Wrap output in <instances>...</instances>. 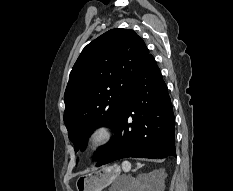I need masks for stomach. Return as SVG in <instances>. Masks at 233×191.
<instances>
[{
    "instance_id": "1",
    "label": "stomach",
    "mask_w": 233,
    "mask_h": 191,
    "mask_svg": "<svg viewBox=\"0 0 233 191\" xmlns=\"http://www.w3.org/2000/svg\"><path fill=\"white\" fill-rule=\"evenodd\" d=\"M120 174V168L116 165L105 166L94 170L77 179V191H102L109 186Z\"/></svg>"
}]
</instances>
